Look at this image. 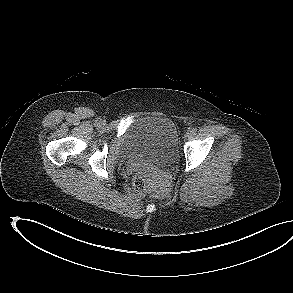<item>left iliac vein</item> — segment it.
<instances>
[{"label": "left iliac vein", "instance_id": "4c4485c4", "mask_svg": "<svg viewBox=\"0 0 293 293\" xmlns=\"http://www.w3.org/2000/svg\"><path fill=\"white\" fill-rule=\"evenodd\" d=\"M191 135H192V132H191V130H189V131L186 132L185 137H189Z\"/></svg>", "mask_w": 293, "mask_h": 293}]
</instances>
